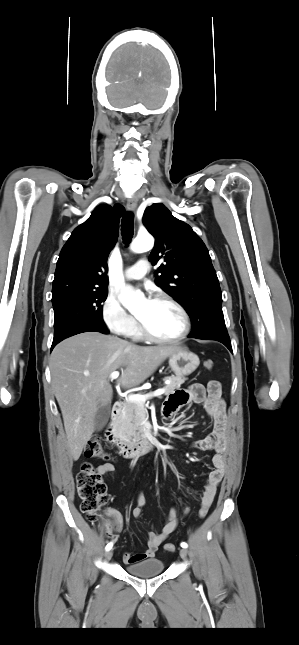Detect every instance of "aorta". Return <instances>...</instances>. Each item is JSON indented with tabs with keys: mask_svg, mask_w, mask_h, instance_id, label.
I'll list each match as a JSON object with an SVG mask.
<instances>
[{
	"mask_svg": "<svg viewBox=\"0 0 299 645\" xmlns=\"http://www.w3.org/2000/svg\"><path fill=\"white\" fill-rule=\"evenodd\" d=\"M154 246V239L150 235L137 236L132 242L131 249L133 252L142 253L149 251ZM143 295L139 292L133 291L131 288L123 289L122 294L119 296L120 302L130 312H134L140 306V301Z\"/></svg>",
	"mask_w": 299,
	"mask_h": 645,
	"instance_id": "1",
	"label": "aorta"
}]
</instances>
